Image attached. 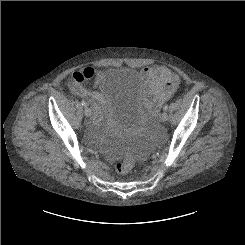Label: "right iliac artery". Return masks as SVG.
<instances>
[{
    "instance_id": "82829eb1",
    "label": "right iliac artery",
    "mask_w": 245,
    "mask_h": 245,
    "mask_svg": "<svg viewBox=\"0 0 245 245\" xmlns=\"http://www.w3.org/2000/svg\"><path fill=\"white\" fill-rule=\"evenodd\" d=\"M81 104H82L84 107L87 106V104H86V102H85L84 100L81 101Z\"/></svg>"
}]
</instances>
